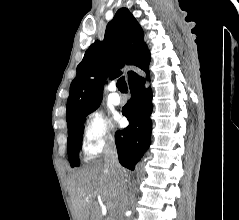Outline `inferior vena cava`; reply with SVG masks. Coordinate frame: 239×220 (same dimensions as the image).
<instances>
[{
	"mask_svg": "<svg viewBox=\"0 0 239 220\" xmlns=\"http://www.w3.org/2000/svg\"><path fill=\"white\" fill-rule=\"evenodd\" d=\"M104 161H105V164L108 167H110L114 171V173L117 175L118 187H119L121 198H122V204H121L122 213L119 217V220H125L123 215L128 205V193H127L125 179L122 174V167L118 161L116 145L113 140H110L106 145Z\"/></svg>",
	"mask_w": 239,
	"mask_h": 220,
	"instance_id": "obj_1",
	"label": "inferior vena cava"
}]
</instances>
